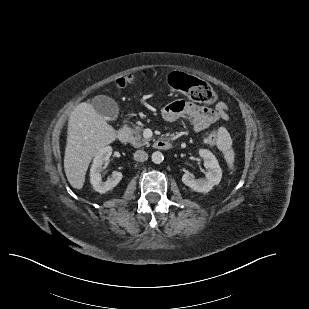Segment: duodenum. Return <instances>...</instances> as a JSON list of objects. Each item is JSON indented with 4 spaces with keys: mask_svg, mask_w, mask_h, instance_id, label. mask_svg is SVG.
I'll return each instance as SVG.
<instances>
[{
    "mask_svg": "<svg viewBox=\"0 0 309 309\" xmlns=\"http://www.w3.org/2000/svg\"><path fill=\"white\" fill-rule=\"evenodd\" d=\"M116 136L121 143H126L129 139V132L127 129L121 128L117 131ZM153 146L158 150H169L172 147V142L167 138H159Z\"/></svg>",
    "mask_w": 309,
    "mask_h": 309,
    "instance_id": "1",
    "label": "duodenum"
}]
</instances>
